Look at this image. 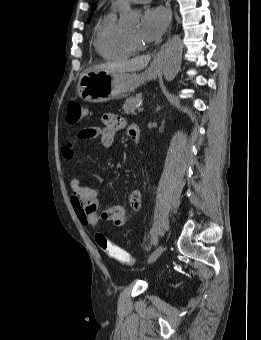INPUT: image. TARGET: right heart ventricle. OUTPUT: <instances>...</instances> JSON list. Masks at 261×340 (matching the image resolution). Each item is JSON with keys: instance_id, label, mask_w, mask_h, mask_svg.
<instances>
[{"instance_id": "right-heart-ventricle-1", "label": "right heart ventricle", "mask_w": 261, "mask_h": 340, "mask_svg": "<svg viewBox=\"0 0 261 340\" xmlns=\"http://www.w3.org/2000/svg\"><path fill=\"white\" fill-rule=\"evenodd\" d=\"M116 11L111 8L103 16L95 33L94 47L104 60H121L135 53L127 41L126 33L117 25Z\"/></svg>"}]
</instances>
